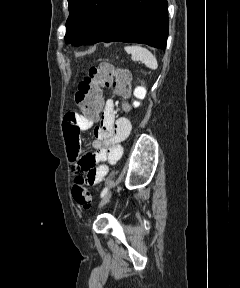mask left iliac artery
<instances>
[{
	"mask_svg": "<svg viewBox=\"0 0 240 288\" xmlns=\"http://www.w3.org/2000/svg\"><path fill=\"white\" fill-rule=\"evenodd\" d=\"M107 191H108V188L105 187V188L102 190V192H101V194H100V197H101V198L104 197L105 194L107 193Z\"/></svg>",
	"mask_w": 240,
	"mask_h": 288,
	"instance_id": "left-iliac-artery-1",
	"label": "left iliac artery"
}]
</instances>
